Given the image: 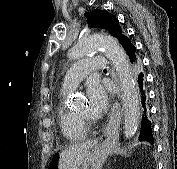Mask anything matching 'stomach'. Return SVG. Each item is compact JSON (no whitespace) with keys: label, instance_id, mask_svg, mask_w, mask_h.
Segmentation results:
<instances>
[{"label":"stomach","instance_id":"0dacf381","mask_svg":"<svg viewBox=\"0 0 177 169\" xmlns=\"http://www.w3.org/2000/svg\"><path fill=\"white\" fill-rule=\"evenodd\" d=\"M113 150V146L109 143H97L84 159L79 169H102L105 161ZM58 155H55L48 169H58Z\"/></svg>","mask_w":177,"mask_h":169}]
</instances>
